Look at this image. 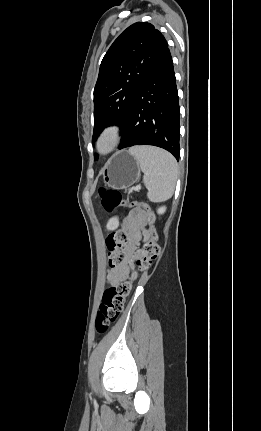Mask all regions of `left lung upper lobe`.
Wrapping results in <instances>:
<instances>
[{"mask_svg":"<svg viewBox=\"0 0 261 431\" xmlns=\"http://www.w3.org/2000/svg\"><path fill=\"white\" fill-rule=\"evenodd\" d=\"M167 48L164 36L147 22L132 24L113 42L94 89L93 141L111 124L123 131L142 82Z\"/></svg>","mask_w":261,"mask_h":431,"instance_id":"obj_1","label":"left lung upper lobe"}]
</instances>
